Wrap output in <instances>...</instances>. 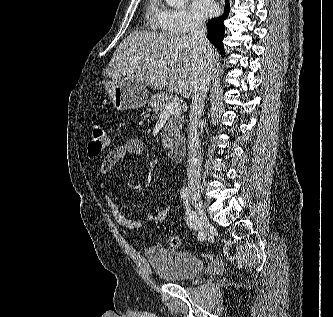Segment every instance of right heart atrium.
Here are the masks:
<instances>
[{
    "label": "right heart atrium",
    "instance_id": "d8ad5b80",
    "mask_svg": "<svg viewBox=\"0 0 333 317\" xmlns=\"http://www.w3.org/2000/svg\"><path fill=\"white\" fill-rule=\"evenodd\" d=\"M160 27L170 33L183 34L199 27V22L184 8H162Z\"/></svg>",
    "mask_w": 333,
    "mask_h": 317
}]
</instances>
